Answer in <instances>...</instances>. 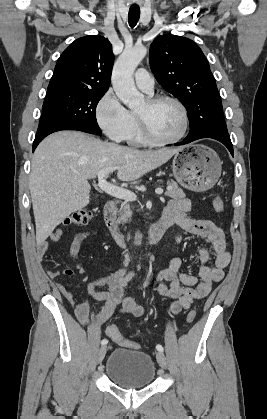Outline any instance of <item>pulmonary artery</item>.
<instances>
[{"instance_id":"pulmonary-artery-1","label":"pulmonary artery","mask_w":267,"mask_h":419,"mask_svg":"<svg viewBox=\"0 0 267 419\" xmlns=\"http://www.w3.org/2000/svg\"><path fill=\"white\" fill-rule=\"evenodd\" d=\"M134 78L135 83L140 90L148 94L153 93L154 78L146 69H138L134 75Z\"/></svg>"}]
</instances>
